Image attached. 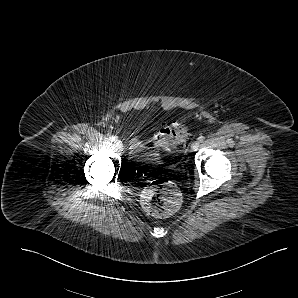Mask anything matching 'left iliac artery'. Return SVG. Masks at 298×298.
I'll return each instance as SVG.
<instances>
[{"label":"left iliac artery","instance_id":"1","mask_svg":"<svg viewBox=\"0 0 298 298\" xmlns=\"http://www.w3.org/2000/svg\"><path fill=\"white\" fill-rule=\"evenodd\" d=\"M205 139V137L204 136H199V138H198V140L200 141V142H203V140Z\"/></svg>","mask_w":298,"mask_h":298}]
</instances>
